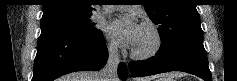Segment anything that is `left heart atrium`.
<instances>
[{
  "mask_svg": "<svg viewBox=\"0 0 237 81\" xmlns=\"http://www.w3.org/2000/svg\"><path fill=\"white\" fill-rule=\"evenodd\" d=\"M141 26L132 17L115 20L111 23L110 35L125 47L134 48Z\"/></svg>",
  "mask_w": 237,
  "mask_h": 81,
  "instance_id": "left-heart-atrium-1",
  "label": "left heart atrium"
}]
</instances>
